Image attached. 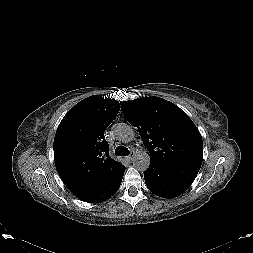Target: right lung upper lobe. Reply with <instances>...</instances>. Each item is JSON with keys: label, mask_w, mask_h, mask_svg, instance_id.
Segmentation results:
<instances>
[{"label": "right lung upper lobe", "mask_w": 253, "mask_h": 253, "mask_svg": "<svg viewBox=\"0 0 253 253\" xmlns=\"http://www.w3.org/2000/svg\"><path fill=\"white\" fill-rule=\"evenodd\" d=\"M120 110L114 99L93 95L76 104L60 122L54 159L64 184L79 199L106 186L124 169L109 156L105 129Z\"/></svg>", "instance_id": "right-lung-upper-lobe-1"}]
</instances>
